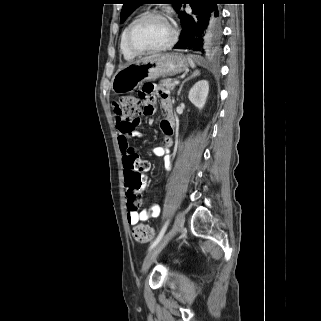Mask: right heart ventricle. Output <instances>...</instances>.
<instances>
[{
	"mask_svg": "<svg viewBox=\"0 0 321 321\" xmlns=\"http://www.w3.org/2000/svg\"><path fill=\"white\" fill-rule=\"evenodd\" d=\"M135 19H132L128 24L127 26L124 28V30L122 31V34H121V37H120V51L122 53V56L125 60H133L136 58V55L132 54L128 49H127V46H126V43H125V38H126V33H127V30L129 28V26L131 25V23L134 21Z\"/></svg>",
	"mask_w": 321,
	"mask_h": 321,
	"instance_id": "right-heart-ventricle-1",
	"label": "right heart ventricle"
}]
</instances>
